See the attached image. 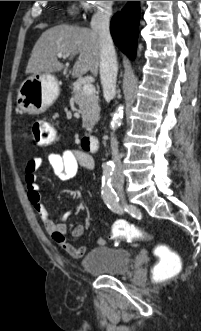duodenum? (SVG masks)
Returning <instances> with one entry per match:
<instances>
[{"mask_svg": "<svg viewBox=\"0 0 201 331\" xmlns=\"http://www.w3.org/2000/svg\"><path fill=\"white\" fill-rule=\"evenodd\" d=\"M82 146L91 152H96L99 149V140L94 135H86L82 138Z\"/></svg>", "mask_w": 201, "mask_h": 331, "instance_id": "410a0bca", "label": "duodenum"}]
</instances>
